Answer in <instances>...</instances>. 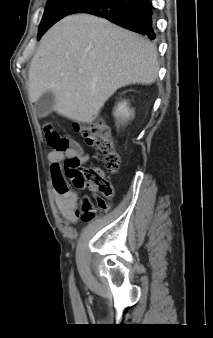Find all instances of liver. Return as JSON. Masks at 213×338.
Returning a JSON list of instances; mask_svg holds the SVG:
<instances>
[{
	"instance_id": "liver-1",
	"label": "liver",
	"mask_w": 213,
	"mask_h": 338,
	"mask_svg": "<svg viewBox=\"0 0 213 338\" xmlns=\"http://www.w3.org/2000/svg\"><path fill=\"white\" fill-rule=\"evenodd\" d=\"M158 71L157 49L147 39L93 15H70L42 37L29 68V96L36 102L51 91L53 110L89 123L117 89L152 84Z\"/></svg>"
}]
</instances>
